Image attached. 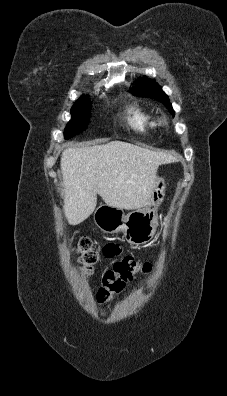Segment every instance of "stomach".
I'll use <instances>...</instances> for the list:
<instances>
[{
	"instance_id": "stomach-1",
	"label": "stomach",
	"mask_w": 227,
	"mask_h": 396,
	"mask_svg": "<svg viewBox=\"0 0 227 396\" xmlns=\"http://www.w3.org/2000/svg\"><path fill=\"white\" fill-rule=\"evenodd\" d=\"M155 188L145 207L128 215L120 208L101 205L94 212V222L104 233L123 232L125 239L132 245H143L154 237L158 226L157 206L165 196L166 182L159 176L154 180Z\"/></svg>"
}]
</instances>
